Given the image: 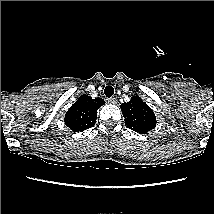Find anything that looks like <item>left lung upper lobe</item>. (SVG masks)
<instances>
[{
	"instance_id": "1",
	"label": "left lung upper lobe",
	"mask_w": 214,
	"mask_h": 214,
	"mask_svg": "<svg viewBox=\"0 0 214 214\" xmlns=\"http://www.w3.org/2000/svg\"><path fill=\"white\" fill-rule=\"evenodd\" d=\"M125 125L140 134H146L156 126V118L152 109L138 96L121 104Z\"/></svg>"
}]
</instances>
